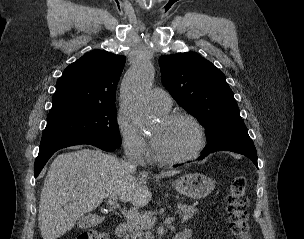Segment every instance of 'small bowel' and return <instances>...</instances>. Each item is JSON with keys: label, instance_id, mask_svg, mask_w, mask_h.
Returning <instances> with one entry per match:
<instances>
[{"label": "small bowel", "instance_id": "obj_1", "mask_svg": "<svg viewBox=\"0 0 304 239\" xmlns=\"http://www.w3.org/2000/svg\"><path fill=\"white\" fill-rule=\"evenodd\" d=\"M183 237H184V239H190L191 238V231H184V232H182V233H180Z\"/></svg>", "mask_w": 304, "mask_h": 239}]
</instances>
